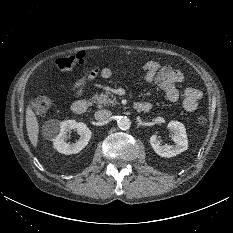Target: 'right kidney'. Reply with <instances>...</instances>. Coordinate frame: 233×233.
Here are the masks:
<instances>
[{
  "label": "right kidney",
  "mask_w": 233,
  "mask_h": 233,
  "mask_svg": "<svg viewBox=\"0 0 233 233\" xmlns=\"http://www.w3.org/2000/svg\"><path fill=\"white\" fill-rule=\"evenodd\" d=\"M76 130L80 135L79 140L76 143H67V132L70 130ZM44 134L48 139L53 141L54 148L66 155L76 154L86 147L90 138L91 130L85 123L76 122L75 120H67L58 122L56 120H50L46 122L44 126Z\"/></svg>",
  "instance_id": "obj_1"
}]
</instances>
